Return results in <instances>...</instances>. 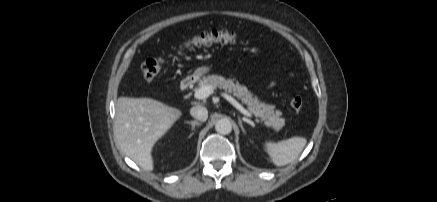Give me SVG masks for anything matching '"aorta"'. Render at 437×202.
Segmentation results:
<instances>
[{
	"mask_svg": "<svg viewBox=\"0 0 437 202\" xmlns=\"http://www.w3.org/2000/svg\"><path fill=\"white\" fill-rule=\"evenodd\" d=\"M215 130L223 135L230 134L232 131L231 122L228 119L218 120L215 124Z\"/></svg>",
	"mask_w": 437,
	"mask_h": 202,
	"instance_id": "1",
	"label": "aorta"
}]
</instances>
